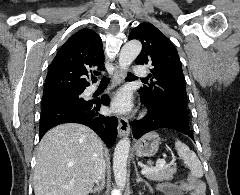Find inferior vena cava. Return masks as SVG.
<instances>
[{"label": "inferior vena cava", "instance_id": "inferior-vena-cava-1", "mask_svg": "<svg viewBox=\"0 0 240 195\" xmlns=\"http://www.w3.org/2000/svg\"><path fill=\"white\" fill-rule=\"evenodd\" d=\"M105 179V163L104 159H102L96 173L95 183H99V181H104Z\"/></svg>", "mask_w": 240, "mask_h": 195}]
</instances>
